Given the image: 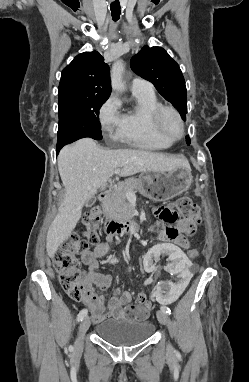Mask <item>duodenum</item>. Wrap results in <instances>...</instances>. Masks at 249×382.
Here are the masks:
<instances>
[{"label": "duodenum", "mask_w": 249, "mask_h": 382, "mask_svg": "<svg viewBox=\"0 0 249 382\" xmlns=\"http://www.w3.org/2000/svg\"><path fill=\"white\" fill-rule=\"evenodd\" d=\"M99 200L101 204L104 206L108 200V191H104L100 193ZM139 230V223L137 220L132 218H120V219H112L107 224V232L110 234L117 235H131Z\"/></svg>", "instance_id": "410a0bca"}]
</instances>
